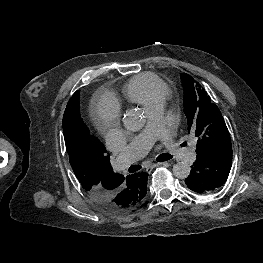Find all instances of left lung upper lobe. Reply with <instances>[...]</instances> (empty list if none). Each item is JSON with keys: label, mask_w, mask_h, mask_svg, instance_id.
<instances>
[{"label": "left lung upper lobe", "mask_w": 263, "mask_h": 263, "mask_svg": "<svg viewBox=\"0 0 263 263\" xmlns=\"http://www.w3.org/2000/svg\"><path fill=\"white\" fill-rule=\"evenodd\" d=\"M181 80L188 131L194 132L198 138L197 155L222 146H231L230 134L222 114L207 92L186 73L181 74Z\"/></svg>", "instance_id": "obj_1"}]
</instances>
